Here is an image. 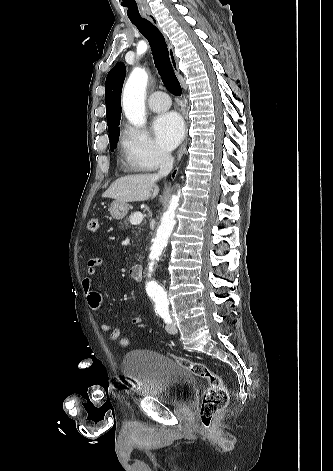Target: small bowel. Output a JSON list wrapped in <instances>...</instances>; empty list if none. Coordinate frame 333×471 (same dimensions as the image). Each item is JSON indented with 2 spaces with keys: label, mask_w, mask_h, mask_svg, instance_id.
I'll list each match as a JSON object with an SVG mask.
<instances>
[{
  "label": "small bowel",
  "mask_w": 333,
  "mask_h": 471,
  "mask_svg": "<svg viewBox=\"0 0 333 471\" xmlns=\"http://www.w3.org/2000/svg\"><path fill=\"white\" fill-rule=\"evenodd\" d=\"M102 263L103 260L100 257H92L89 259L86 265L85 275L82 278V288L87 303L94 311H99L102 305V295L93 285L96 269L101 266ZM141 322L142 318L140 316H133L131 319V323L133 325H139ZM100 328L102 331L110 333V338L112 341H117L121 336L120 328H115L105 320H101Z\"/></svg>",
  "instance_id": "c3829d8e"
}]
</instances>
